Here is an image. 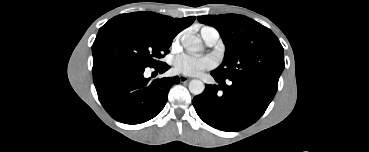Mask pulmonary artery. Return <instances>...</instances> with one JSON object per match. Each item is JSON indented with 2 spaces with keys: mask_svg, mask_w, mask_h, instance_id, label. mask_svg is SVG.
Returning a JSON list of instances; mask_svg holds the SVG:
<instances>
[{
  "mask_svg": "<svg viewBox=\"0 0 369 152\" xmlns=\"http://www.w3.org/2000/svg\"><path fill=\"white\" fill-rule=\"evenodd\" d=\"M200 35L208 46L216 45L220 38L219 32L215 28L209 26L203 27Z\"/></svg>",
  "mask_w": 369,
  "mask_h": 152,
  "instance_id": "e3ab8cb5",
  "label": "pulmonary artery"
}]
</instances>
